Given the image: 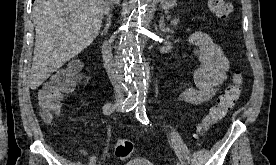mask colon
<instances>
[{"instance_id":"1","label":"colon","mask_w":276,"mask_h":165,"mask_svg":"<svg viewBox=\"0 0 276 165\" xmlns=\"http://www.w3.org/2000/svg\"><path fill=\"white\" fill-rule=\"evenodd\" d=\"M209 9L220 19L228 20L232 13V6L226 0H208ZM80 67L73 64L55 72L38 91L37 99L40 112L44 120L51 121L61 112V98L65 91L72 88L79 75ZM243 78L239 71H235L232 82L217 98L216 104L208 114L197 124L196 137L204 135L214 124L220 121L233 108L242 91ZM134 146L128 139H120L116 144V156L125 160L132 156Z\"/></svg>"}]
</instances>
